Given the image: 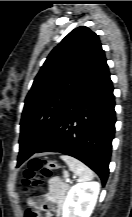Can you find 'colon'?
Returning <instances> with one entry per match:
<instances>
[{"instance_id": "obj_1", "label": "colon", "mask_w": 132, "mask_h": 217, "mask_svg": "<svg viewBox=\"0 0 132 217\" xmlns=\"http://www.w3.org/2000/svg\"><path fill=\"white\" fill-rule=\"evenodd\" d=\"M58 168L56 162L49 159L35 158L30 161L24 173L23 183L26 186L39 188L44 180L51 176L52 172ZM27 217H39L38 207H29L26 212Z\"/></svg>"}]
</instances>
